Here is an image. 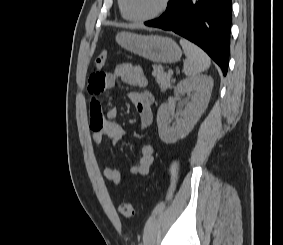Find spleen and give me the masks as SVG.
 <instances>
[{"label":"spleen","instance_id":"3e777b00","mask_svg":"<svg viewBox=\"0 0 283 245\" xmlns=\"http://www.w3.org/2000/svg\"><path fill=\"white\" fill-rule=\"evenodd\" d=\"M180 44L187 57L183 67L186 76L196 77L210 67V58L201 48L183 38L180 39Z\"/></svg>","mask_w":283,"mask_h":245}]
</instances>
